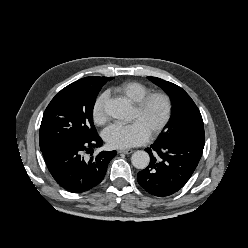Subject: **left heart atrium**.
<instances>
[{
    "mask_svg": "<svg viewBox=\"0 0 248 248\" xmlns=\"http://www.w3.org/2000/svg\"><path fill=\"white\" fill-rule=\"evenodd\" d=\"M107 144L116 149H127L147 141L149 131L145 125L135 120L130 124H113L103 133Z\"/></svg>",
    "mask_w": 248,
    "mask_h": 248,
    "instance_id": "obj_1",
    "label": "left heart atrium"
}]
</instances>
